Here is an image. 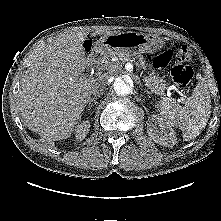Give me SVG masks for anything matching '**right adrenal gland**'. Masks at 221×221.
<instances>
[{
	"label": "right adrenal gland",
	"instance_id": "right-adrenal-gland-1",
	"mask_svg": "<svg viewBox=\"0 0 221 221\" xmlns=\"http://www.w3.org/2000/svg\"><path fill=\"white\" fill-rule=\"evenodd\" d=\"M88 102H89V104H91V103L97 104V100L95 98H90L88 100Z\"/></svg>",
	"mask_w": 221,
	"mask_h": 221
}]
</instances>
